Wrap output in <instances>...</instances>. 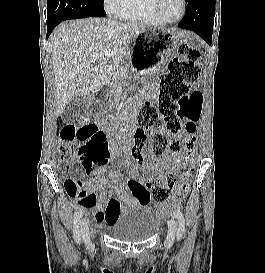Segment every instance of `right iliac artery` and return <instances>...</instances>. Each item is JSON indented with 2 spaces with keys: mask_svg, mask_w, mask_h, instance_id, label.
Segmentation results:
<instances>
[{
  "mask_svg": "<svg viewBox=\"0 0 265 273\" xmlns=\"http://www.w3.org/2000/svg\"><path fill=\"white\" fill-rule=\"evenodd\" d=\"M83 209L79 208L76 210L74 214V220H73V234H74V239L77 243H80L81 241V234H80V218L82 216Z\"/></svg>",
  "mask_w": 265,
  "mask_h": 273,
  "instance_id": "right-iliac-artery-1",
  "label": "right iliac artery"
}]
</instances>
